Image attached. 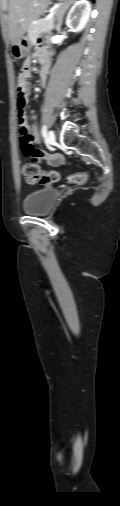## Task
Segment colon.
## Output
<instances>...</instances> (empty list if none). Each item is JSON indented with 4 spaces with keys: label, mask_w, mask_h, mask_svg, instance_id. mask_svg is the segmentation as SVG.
I'll return each instance as SVG.
<instances>
[{
    "label": "colon",
    "mask_w": 120,
    "mask_h": 506,
    "mask_svg": "<svg viewBox=\"0 0 120 506\" xmlns=\"http://www.w3.org/2000/svg\"><path fill=\"white\" fill-rule=\"evenodd\" d=\"M18 90V98H17V107H18V121L20 128L24 125V117H26L25 114V108L27 105V97L28 92L24 89V86L22 83H18L17 85ZM21 134V146L23 151L27 155L31 156H37L39 154V150L36 146L34 138L25 132L20 133ZM23 176L24 180L28 184H52L56 183L60 180V174L56 171H43L40 169V167L35 163H27L23 166ZM89 179V174L86 171L77 172L74 174H71L68 177V181L72 184H83L87 182Z\"/></svg>",
    "instance_id": "1"
}]
</instances>
